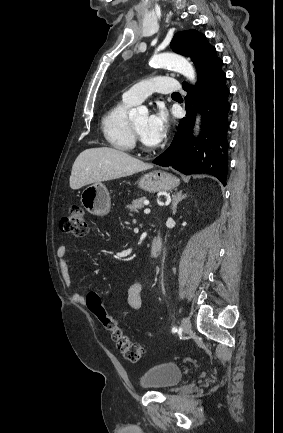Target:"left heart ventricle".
I'll list each match as a JSON object with an SVG mask.
<instances>
[{
    "instance_id": "left-heart-ventricle-1",
    "label": "left heart ventricle",
    "mask_w": 283,
    "mask_h": 433,
    "mask_svg": "<svg viewBox=\"0 0 283 433\" xmlns=\"http://www.w3.org/2000/svg\"><path fill=\"white\" fill-rule=\"evenodd\" d=\"M147 121H148V117L144 116V117L140 118L139 120H137L134 123V125H135L138 133L140 134V136L143 133V131L145 130V127L147 125Z\"/></svg>"
}]
</instances>
